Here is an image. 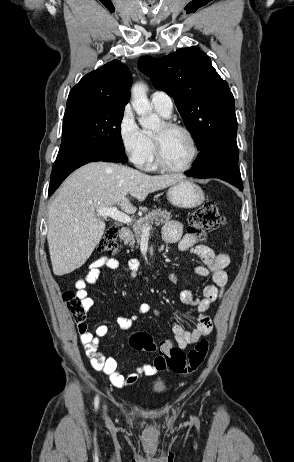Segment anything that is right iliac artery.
<instances>
[{"mask_svg":"<svg viewBox=\"0 0 294 462\" xmlns=\"http://www.w3.org/2000/svg\"><path fill=\"white\" fill-rule=\"evenodd\" d=\"M98 404H99V398H98V396H96L95 401H94L95 409L98 408Z\"/></svg>","mask_w":294,"mask_h":462,"instance_id":"1","label":"right iliac artery"}]
</instances>
